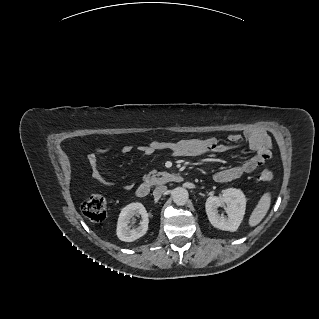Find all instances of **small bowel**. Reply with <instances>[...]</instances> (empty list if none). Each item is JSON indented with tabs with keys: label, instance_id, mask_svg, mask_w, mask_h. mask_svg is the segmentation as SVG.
I'll list each match as a JSON object with an SVG mask.
<instances>
[{
	"label": "small bowel",
	"instance_id": "1",
	"mask_svg": "<svg viewBox=\"0 0 319 319\" xmlns=\"http://www.w3.org/2000/svg\"><path fill=\"white\" fill-rule=\"evenodd\" d=\"M249 147L255 152L253 156L244 162L223 168L214 174V180L219 183L229 182L240 178L242 175L251 173L266 161L260 153V148L268 141V136L264 132H249L246 134ZM242 137L239 134H230L228 136V144L221 143L214 137L199 139H183L173 142L150 141L141 145L140 152L144 155H152L157 151H166L174 157H191L197 158L208 154H223L230 152L240 146ZM133 148L126 145L122 148L124 154H130ZM110 148H98L94 153L88 156L91 177L98 183L110 186L113 183L102 172L98 165V155L106 154ZM132 187L131 183L124 184V188Z\"/></svg>",
	"mask_w": 319,
	"mask_h": 319
}]
</instances>
